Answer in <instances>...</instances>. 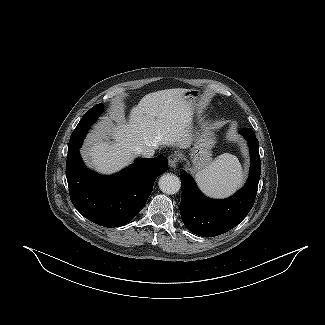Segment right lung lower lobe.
Instances as JSON below:
<instances>
[{
    "label": "right lung lower lobe",
    "instance_id": "1",
    "mask_svg": "<svg viewBox=\"0 0 325 325\" xmlns=\"http://www.w3.org/2000/svg\"><path fill=\"white\" fill-rule=\"evenodd\" d=\"M87 130L73 132L69 141L66 177L70 199L84 217L96 224L125 225L144 207L154 181L167 171L168 160L164 156L137 159L118 174L98 175L84 166L79 153Z\"/></svg>",
    "mask_w": 325,
    "mask_h": 325
}]
</instances>
